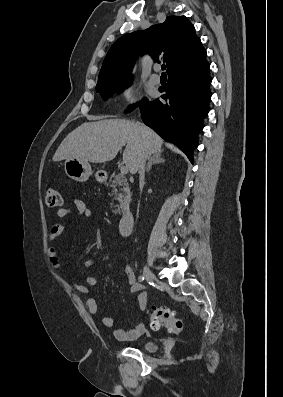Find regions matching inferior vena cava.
Instances as JSON below:
<instances>
[{
	"instance_id": "1",
	"label": "inferior vena cava",
	"mask_w": 283,
	"mask_h": 397,
	"mask_svg": "<svg viewBox=\"0 0 283 397\" xmlns=\"http://www.w3.org/2000/svg\"><path fill=\"white\" fill-rule=\"evenodd\" d=\"M137 125H138V127H140L139 124H137ZM146 159H147V154L143 153L142 156L140 157L139 165H138L140 181H143V179H144Z\"/></svg>"
}]
</instances>
